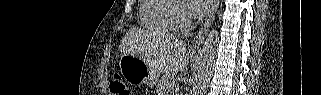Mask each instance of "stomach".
<instances>
[{
    "instance_id": "obj_1",
    "label": "stomach",
    "mask_w": 321,
    "mask_h": 95,
    "mask_svg": "<svg viewBox=\"0 0 321 95\" xmlns=\"http://www.w3.org/2000/svg\"><path fill=\"white\" fill-rule=\"evenodd\" d=\"M122 77L129 84H146L153 86L159 77L157 70L151 68L140 57L131 54H122L119 60Z\"/></svg>"
}]
</instances>
